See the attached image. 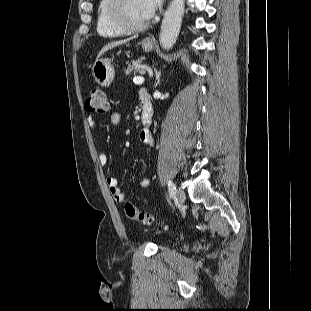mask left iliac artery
<instances>
[{"label":"left iliac artery","instance_id":"left-iliac-artery-1","mask_svg":"<svg viewBox=\"0 0 311 311\" xmlns=\"http://www.w3.org/2000/svg\"><path fill=\"white\" fill-rule=\"evenodd\" d=\"M167 184H168V189H169L170 197H173L176 194V186L170 180L167 182Z\"/></svg>","mask_w":311,"mask_h":311}]
</instances>
